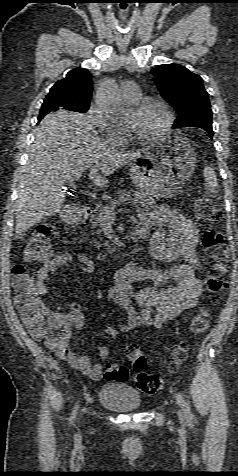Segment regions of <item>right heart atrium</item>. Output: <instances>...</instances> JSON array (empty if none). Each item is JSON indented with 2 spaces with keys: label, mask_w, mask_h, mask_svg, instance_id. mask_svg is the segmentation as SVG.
I'll return each instance as SVG.
<instances>
[{
  "label": "right heart atrium",
  "mask_w": 238,
  "mask_h": 476,
  "mask_svg": "<svg viewBox=\"0 0 238 476\" xmlns=\"http://www.w3.org/2000/svg\"><path fill=\"white\" fill-rule=\"evenodd\" d=\"M87 116L98 132L110 141H119L126 133L124 127L110 123L95 104L90 105Z\"/></svg>",
  "instance_id": "d8ad5b80"
}]
</instances>
